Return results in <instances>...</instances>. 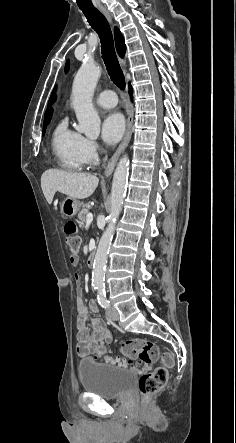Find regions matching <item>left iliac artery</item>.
Instances as JSON below:
<instances>
[{
  "instance_id": "44dca946",
  "label": "left iliac artery",
  "mask_w": 236,
  "mask_h": 443,
  "mask_svg": "<svg viewBox=\"0 0 236 443\" xmlns=\"http://www.w3.org/2000/svg\"><path fill=\"white\" fill-rule=\"evenodd\" d=\"M97 299H98V303L101 305V307H103V308L109 307V301L106 298V292H105L104 287L98 288Z\"/></svg>"
}]
</instances>
